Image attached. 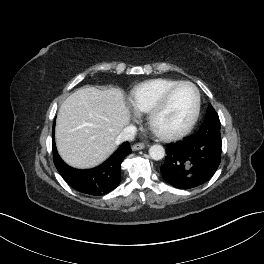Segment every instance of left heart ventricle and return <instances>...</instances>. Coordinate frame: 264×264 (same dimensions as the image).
Here are the masks:
<instances>
[{
    "label": "left heart ventricle",
    "instance_id": "left-heart-ventricle-1",
    "mask_svg": "<svg viewBox=\"0 0 264 264\" xmlns=\"http://www.w3.org/2000/svg\"><path fill=\"white\" fill-rule=\"evenodd\" d=\"M195 107V92L189 85L174 90L165 108L156 116L154 124L163 131H174L183 127L190 119Z\"/></svg>",
    "mask_w": 264,
    "mask_h": 264
}]
</instances>
